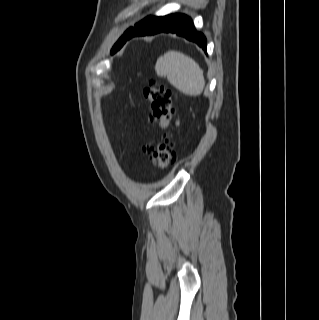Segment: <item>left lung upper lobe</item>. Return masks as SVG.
<instances>
[{"label": "left lung upper lobe", "instance_id": "obj_1", "mask_svg": "<svg viewBox=\"0 0 319 320\" xmlns=\"http://www.w3.org/2000/svg\"><path fill=\"white\" fill-rule=\"evenodd\" d=\"M132 28H129L120 38L119 40L116 42V44L113 46L112 50H111V54L115 53L116 51H118L123 43H124V40H125V37L126 35L129 33V31L131 30Z\"/></svg>", "mask_w": 319, "mask_h": 320}]
</instances>
